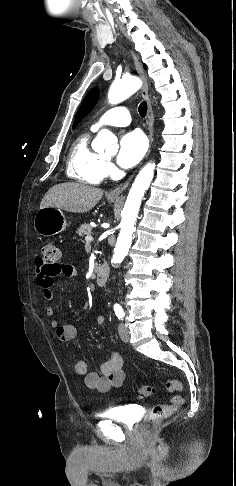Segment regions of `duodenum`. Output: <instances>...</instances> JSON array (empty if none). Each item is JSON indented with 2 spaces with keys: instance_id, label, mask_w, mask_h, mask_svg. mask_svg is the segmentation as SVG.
Returning a JSON list of instances; mask_svg holds the SVG:
<instances>
[{
  "instance_id": "duodenum-1",
  "label": "duodenum",
  "mask_w": 236,
  "mask_h": 486,
  "mask_svg": "<svg viewBox=\"0 0 236 486\" xmlns=\"http://www.w3.org/2000/svg\"><path fill=\"white\" fill-rule=\"evenodd\" d=\"M109 277V267L107 264H101L95 271V281L98 286H104Z\"/></svg>"
}]
</instances>
